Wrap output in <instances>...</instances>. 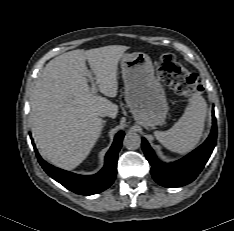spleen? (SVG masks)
<instances>
[{
	"mask_svg": "<svg viewBox=\"0 0 234 231\" xmlns=\"http://www.w3.org/2000/svg\"><path fill=\"white\" fill-rule=\"evenodd\" d=\"M207 104L199 92L189 98L183 115L167 131H155L156 139L168 150L185 154L194 149L203 133Z\"/></svg>",
	"mask_w": 234,
	"mask_h": 231,
	"instance_id": "3e777b00",
	"label": "spleen"
}]
</instances>
